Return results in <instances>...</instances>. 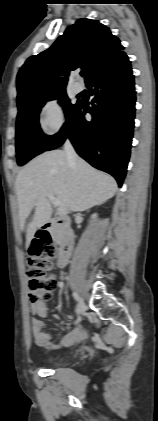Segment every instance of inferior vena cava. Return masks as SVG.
Listing matches in <instances>:
<instances>
[{
    "label": "inferior vena cava",
    "instance_id": "inferior-vena-cava-1",
    "mask_svg": "<svg viewBox=\"0 0 158 421\" xmlns=\"http://www.w3.org/2000/svg\"><path fill=\"white\" fill-rule=\"evenodd\" d=\"M64 151L70 164H75L78 162V156L69 140H66L64 144Z\"/></svg>",
    "mask_w": 158,
    "mask_h": 421
}]
</instances>
